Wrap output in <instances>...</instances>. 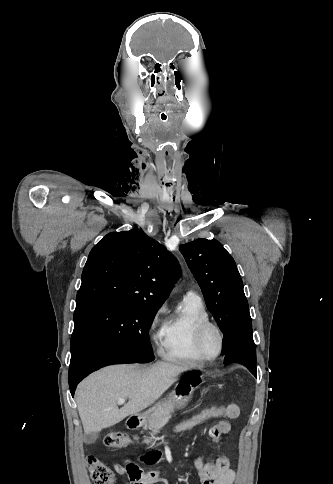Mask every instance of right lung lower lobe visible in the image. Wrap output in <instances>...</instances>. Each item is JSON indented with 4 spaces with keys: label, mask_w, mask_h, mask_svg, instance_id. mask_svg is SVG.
I'll return each mask as SVG.
<instances>
[{
    "label": "right lung lower lobe",
    "mask_w": 333,
    "mask_h": 484,
    "mask_svg": "<svg viewBox=\"0 0 333 484\" xmlns=\"http://www.w3.org/2000/svg\"><path fill=\"white\" fill-rule=\"evenodd\" d=\"M135 363L116 342L83 326L71 338L69 387L72 396L77 384L91 372L111 364Z\"/></svg>",
    "instance_id": "98d812e1"
}]
</instances>
